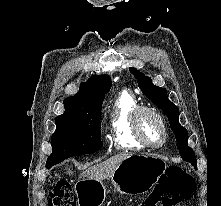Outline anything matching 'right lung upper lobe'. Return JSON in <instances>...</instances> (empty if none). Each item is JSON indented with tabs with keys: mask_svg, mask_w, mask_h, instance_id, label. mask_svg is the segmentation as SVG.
Returning a JSON list of instances; mask_svg holds the SVG:
<instances>
[{
	"mask_svg": "<svg viewBox=\"0 0 221 206\" xmlns=\"http://www.w3.org/2000/svg\"><path fill=\"white\" fill-rule=\"evenodd\" d=\"M111 88L108 75H94L86 83H81L76 95L64 100V113H73L96 109L102 106L105 94Z\"/></svg>",
	"mask_w": 221,
	"mask_h": 206,
	"instance_id": "1",
	"label": "right lung upper lobe"
}]
</instances>
